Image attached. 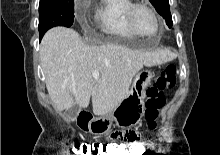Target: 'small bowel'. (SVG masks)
<instances>
[{
    "label": "small bowel",
    "mask_w": 220,
    "mask_h": 155,
    "mask_svg": "<svg viewBox=\"0 0 220 155\" xmlns=\"http://www.w3.org/2000/svg\"><path fill=\"white\" fill-rule=\"evenodd\" d=\"M114 130H109L111 141H138L140 138V126H114ZM94 145H103V140H94ZM106 146H127L110 143Z\"/></svg>",
    "instance_id": "obj_1"
}]
</instances>
